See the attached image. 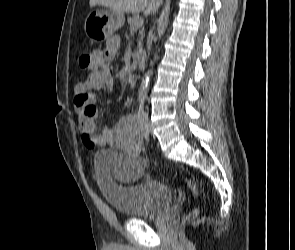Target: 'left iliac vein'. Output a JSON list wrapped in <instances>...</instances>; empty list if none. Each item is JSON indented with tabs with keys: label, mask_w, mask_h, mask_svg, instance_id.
Listing matches in <instances>:
<instances>
[{
	"label": "left iliac vein",
	"mask_w": 295,
	"mask_h": 250,
	"mask_svg": "<svg viewBox=\"0 0 295 250\" xmlns=\"http://www.w3.org/2000/svg\"><path fill=\"white\" fill-rule=\"evenodd\" d=\"M147 131H148L149 133L152 132L151 123H150L149 121H147Z\"/></svg>",
	"instance_id": "obj_1"
}]
</instances>
